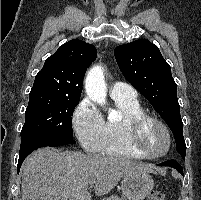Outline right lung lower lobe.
I'll return each mask as SVG.
<instances>
[{"label":"right lung lower lobe","instance_id":"right-lung-lower-lobe-1","mask_svg":"<svg viewBox=\"0 0 201 200\" xmlns=\"http://www.w3.org/2000/svg\"><path fill=\"white\" fill-rule=\"evenodd\" d=\"M74 143L75 141L71 138H65L45 132H32L21 135V146L17 165L18 173L24 159L35 149L46 146L57 147Z\"/></svg>","mask_w":201,"mask_h":200}]
</instances>
